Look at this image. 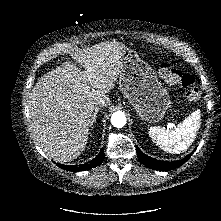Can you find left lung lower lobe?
<instances>
[{"label": "left lung lower lobe", "mask_w": 221, "mask_h": 221, "mask_svg": "<svg viewBox=\"0 0 221 221\" xmlns=\"http://www.w3.org/2000/svg\"><path fill=\"white\" fill-rule=\"evenodd\" d=\"M137 154L140 162L144 164L147 168L150 169H155V170H160V171H169L176 169L183 165L191 156L187 155L184 159L178 160V161H173V162H165V161H160L156 160L154 158H151L144 153L140 151V149L137 147Z\"/></svg>", "instance_id": "0a47b994"}]
</instances>
